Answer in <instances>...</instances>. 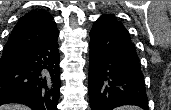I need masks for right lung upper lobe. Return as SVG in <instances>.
<instances>
[{
    "label": "right lung upper lobe",
    "mask_w": 171,
    "mask_h": 110,
    "mask_svg": "<svg viewBox=\"0 0 171 110\" xmlns=\"http://www.w3.org/2000/svg\"><path fill=\"white\" fill-rule=\"evenodd\" d=\"M58 33L53 17L44 9L28 12L13 28L4 46L3 55H21L41 45Z\"/></svg>",
    "instance_id": "right-lung-upper-lobe-1"
}]
</instances>
